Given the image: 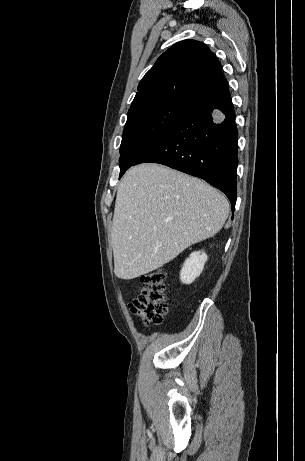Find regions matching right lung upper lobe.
Instances as JSON below:
<instances>
[{"label": "right lung upper lobe", "mask_w": 305, "mask_h": 461, "mask_svg": "<svg viewBox=\"0 0 305 461\" xmlns=\"http://www.w3.org/2000/svg\"><path fill=\"white\" fill-rule=\"evenodd\" d=\"M226 84L221 64L205 44L180 41L145 74L128 113L160 103L191 106Z\"/></svg>", "instance_id": "obj_1"}]
</instances>
